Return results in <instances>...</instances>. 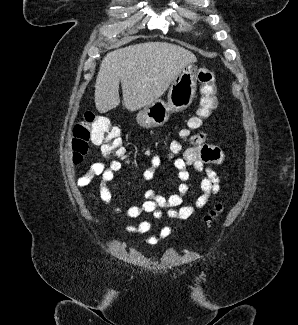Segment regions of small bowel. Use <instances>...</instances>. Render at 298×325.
<instances>
[{"mask_svg": "<svg viewBox=\"0 0 298 325\" xmlns=\"http://www.w3.org/2000/svg\"><path fill=\"white\" fill-rule=\"evenodd\" d=\"M223 151L216 145L207 142L205 133H197L189 138V146L183 151L181 157L173 162L178 170V177L181 184L178 193L169 196L157 194L149 189L144 193L145 201L139 206H131L124 212L116 207L114 211L117 214H124L128 218H137L143 213H150L155 219H160L165 214L170 218L187 219L195 209L203 208L208 201L220 190V178L210 165H220L224 161ZM162 163L159 154H153L150 158V167L141 174L135 175L136 180L149 181L153 179L155 170ZM189 167H192L197 173L202 175L200 188L202 194L196 199L194 206H182L183 197L188 191V181L190 179ZM121 169V163L118 160L98 161L91 165L89 170L77 178V186L84 188L88 186L95 177L102 178V184L98 192L100 200L104 204L111 202L112 194L106 186L107 182L114 179L115 174ZM152 229L150 221H142L138 225H128L125 230L129 233L147 235L144 243L147 245H156L162 239L170 236L172 228L165 226L158 235H148Z\"/></svg>", "mask_w": 298, "mask_h": 325, "instance_id": "c3829d8e", "label": "small bowel"}]
</instances>
